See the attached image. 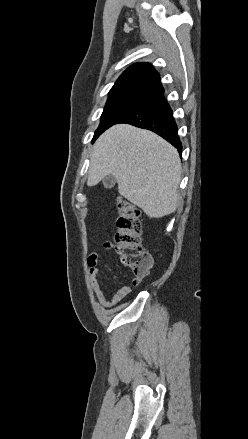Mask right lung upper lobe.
Listing matches in <instances>:
<instances>
[{
	"mask_svg": "<svg viewBox=\"0 0 248 439\" xmlns=\"http://www.w3.org/2000/svg\"><path fill=\"white\" fill-rule=\"evenodd\" d=\"M164 93L159 73L149 63H136L127 68L109 91L117 94H138L155 98Z\"/></svg>",
	"mask_w": 248,
	"mask_h": 439,
	"instance_id": "right-lung-upper-lobe-1",
	"label": "right lung upper lobe"
}]
</instances>
